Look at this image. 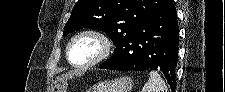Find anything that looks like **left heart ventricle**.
<instances>
[{
	"label": "left heart ventricle",
	"instance_id": "obj_1",
	"mask_svg": "<svg viewBox=\"0 0 225 92\" xmlns=\"http://www.w3.org/2000/svg\"><path fill=\"white\" fill-rule=\"evenodd\" d=\"M100 51L98 42L90 37H84L77 40L71 47V59L77 64H83L94 57Z\"/></svg>",
	"mask_w": 225,
	"mask_h": 92
}]
</instances>
